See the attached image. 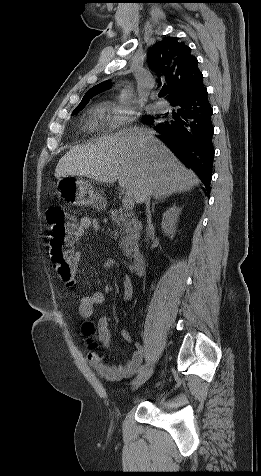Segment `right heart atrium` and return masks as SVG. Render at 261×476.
I'll use <instances>...</instances> for the list:
<instances>
[{
  "instance_id": "d8ad5b80",
  "label": "right heart atrium",
  "mask_w": 261,
  "mask_h": 476,
  "mask_svg": "<svg viewBox=\"0 0 261 476\" xmlns=\"http://www.w3.org/2000/svg\"><path fill=\"white\" fill-rule=\"evenodd\" d=\"M105 109L109 113L108 126L110 129L130 125L136 118V111L128 106L107 103Z\"/></svg>"
}]
</instances>
